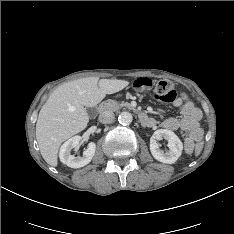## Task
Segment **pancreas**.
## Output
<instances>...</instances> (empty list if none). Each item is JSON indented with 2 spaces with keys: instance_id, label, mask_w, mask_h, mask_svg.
I'll return each instance as SVG.
<instances>
[{
  "instance_id": "pancreas-1",
  "label": "pancreas",
  "mask_w": 234,
  "mask_h": 234,
  "mask_svg": "<svg viewBox=\"0 0 234 234\" xmlns=\"http://www.w3.org/2000/svg\"><path fill=\"white\" fill-rule=\"evenodd\" d=\"M102 107H105L107 110H110V111H118L122 107L131 108V105L130 103L124 102V101L116 102L114 100H107L102 103Z\"/></svg>"
}]
</instances>
